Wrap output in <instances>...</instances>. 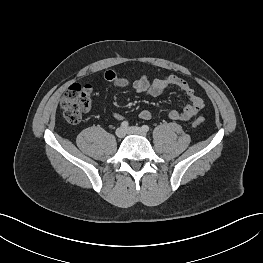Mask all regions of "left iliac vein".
<instances>
[{
  "instance_id": "obj_1",
  "label": "left iliac vein",
  "mask_w": 263,
  "mask_h": 263,
  "mask_svg": "<svg viewBox=\"0 0 263 263\" xmlns=\"http://www.w3.org/2000/svg\"><path fill=\"white\" fill-rule=\"evenodd\" d=\"M127 132L129 134H136V135H140V136H146V132L145 131H143L141 128L135 127V126L129 127L127 129Z\"/></svg>"
}]
</instances>
